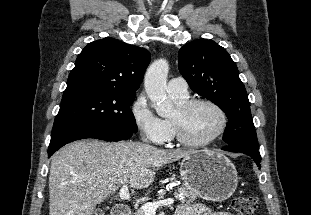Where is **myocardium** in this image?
I'll list each match as a JSON object with an SVG mask.
<instances>
[{
	"label": "myocardium",
	"mask_w": 311,
	"mask_h": 215,
	"mask_svg": "<svg viewBox=\"0 0 311 215\" xmlns=\"http://www.w3.org/2000/svg\"><path fill=\"white\" fill-rule=\"evenodd\" d=\"M200 104H205V105H209V106L213 107L219 113L220 118H221V122H220L219 128L217 129V131L212 136H210L209 138H207L203 141H193V140H190L186 136L182 122L180 120H176V119L171 118V123L174 127L177 140L182 145H184L186 147L202 148V147L208 146L211 143H213L215 140H217L224 133V131L227 127L228 118H227L226 112L224 111V109L219 104H217L216 102H214L210 99H207V98L188 99L185 102L177 105L176 109L181 116H184L194 106L200 105Z\"/></svg>",
	"instance_id": "obj_1"
}]
</instances>
